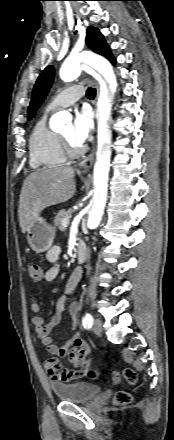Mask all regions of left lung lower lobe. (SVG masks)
<instances>
[{"instance_id":"0a47b994","label":"left lung lower lobe","mask_w":174,"mask_h":440,"mask_svg":"<svg viewBox=\"0 0 174 440\" xmlns=\"http://www.w3.org/2000/svg\"><path fill=\"white\" fill-rule=\"evenodd\" d=\"M110 60V62L112 63V64H115V58L114 57H112L111 59H109Z\"/></svg>"}]
</instances>
